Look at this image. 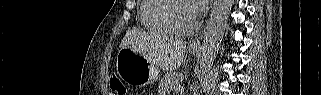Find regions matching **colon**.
<instances>
[{"label": "colon", "mask_w": 321, "mask_h": 95, "mask_svg": "<svg viewBox=\"0 0 321 95\" xmlns=\"http://www.w3.org/2000/svg\"><path fill=\"white\" fill-rule=\"evenodd\" d=\"M110 87L113 92L119 95H126L127 89L126 86L123 84L119 76L113 73L110 77Z\"/></svg>", "instance_id": "5ec220e1"}]
</instances>
